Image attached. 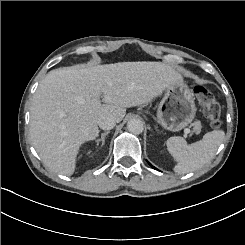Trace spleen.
<instances>
[{
  "label": "spleen",
  "instance_id": "1",
  "mask_svg": "<svg viewBox=\"0 0 245 245\" xmlns=\"http://www.w3.org/2000/svg\"><path fill=\"white\" fill-rule=\"evenodd\" d=\"M224 139L222 131L205 134L203 139L189 147L183 137L169 138L167 144L171 153L182 162L175 168L178 174H186L205 166L215 155Z\"/></svg>",
  "mask_w": 245,
  "mask_h": 245
}]
</instances>
